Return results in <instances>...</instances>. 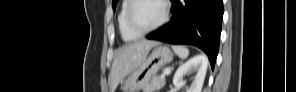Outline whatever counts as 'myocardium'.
Masks as SVG:
<instances>
[{
  "mask_svg": "<svg viewBox=\"0 0 296 92\" xmlns=\"http://www.w3.org/2000/svg\"><path fill=\"white\" fill-rule=\"evenodd\" d=\"M143 0H133L127 10V15H126V21H127V25L128 27L136 34L138 35H146L158 28H160L168 19V5L166 3V1L163 0H157L161 6H162V16L161 19L152 27L148 28V29H141L138 26H136V24L134 23L133 20V12L136 8V6Z\"/></svg>",
  "mask_w": 296,
  "mask_h": 92,
  "instance_id": "1",
  "label": "myocardium"
}]
</instances>
